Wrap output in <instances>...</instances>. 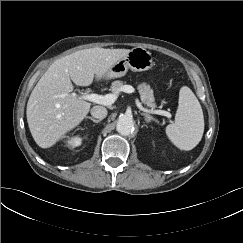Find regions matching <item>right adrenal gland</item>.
<instances>
[{
	"instance_id": "2a0ac1e0",
	"label": "right adrenal gland",
	"mask_w": 243,
	"mask_h": 243,
	"mask_svg": "<svg viewBox=\"0 0 243 243\" xmlns=\"http://www.w3.org/2000/svg\"><path fill=\"white\" fill-rule=\"evenodd\" d=\"M86 119L92 120L94 123H99L101 120H96L93 117L87 116Z\"/></svg>"
}]
</instances>
